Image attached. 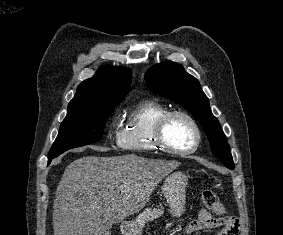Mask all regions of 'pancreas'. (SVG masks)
Masks as SVG:
<instances>
[{
	"instance_id": "cf45deb5",
	"label": "pancreas",
	"mask_w": 283,
	"mask_h": 235,
	"mask_svg": "<svg viewBox=\"0 0 283 235\" xmlns=\"http://www.w3.org/2000/svg\"><path fill=\"white\" fill-rule=\"evenodd\" d=\"M163 214V207L160 206V208H146L142 213H140L135 221V224L139 229H142L144 225L152 221L158 217H160Z\"/></svg>"
}]
</instances>
